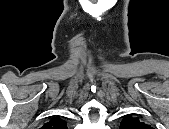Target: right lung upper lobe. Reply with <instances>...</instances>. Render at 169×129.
<instances>
[{"instance_id": "right-lung-upper-lobe-1", "label": "right lung upper lobe", "mask_w": 169, "mask_h": 129, "mask_svg": "<svg viewBox=\"0 0 169 129\" xmlns=\"http://www.w3.org/2000/svg\"><path fill=\"white\" fill-rule=\"evenodd\" d=\"M46 129H66L67 125L64 120L58 117L52 118L48 123L44 124Z\"/></svg>"}]
</instances>
